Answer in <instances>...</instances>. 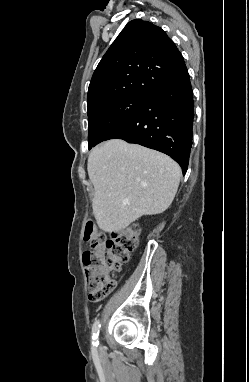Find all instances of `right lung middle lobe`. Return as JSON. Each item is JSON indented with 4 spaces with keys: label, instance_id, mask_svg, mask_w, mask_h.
I'll list each match as a JSON object with an SVG mask.
<instances>
[{
    "label": "right lung middle lobe",
    "instance_id": "1",
    "mask_svg": "<svg viewBox=\"0 0 249 382\" xmlns=\"http://www.w3.org/2000/svg\"><path fill=\"white\" fill-rule=\"evenodd\" d=\"M148 96L130 94L88 109L89 149L127 124L140 111Z\"/></svg>",
    "mask_w": 249,
    "mask_h": 382
}]
</instances>
